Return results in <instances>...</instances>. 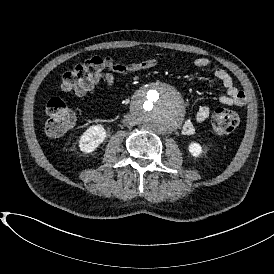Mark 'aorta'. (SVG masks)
<instances>
[{
	"label": "aorta",
	"instance_id": "762f6f07",
	"mask_svg": "<svg viewBox=\"0 0 274 274\" xmlns=\"http://www.w3.org/2000/svg\"><path fill=\"white\" fill-rule=\"evenodd\" d=\"M131 111L136 124L159 133L177 129L185 114L180 94L171 86L159 82L137 93L131 103Z\"/></svg>",
	"mask_w": 274,
	"mask_h": 274
}]
</instances>
